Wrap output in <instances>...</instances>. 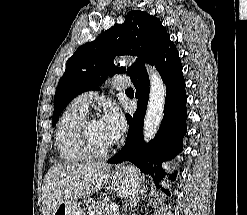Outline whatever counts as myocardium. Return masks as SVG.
I'll use <instances>...</instances> for the list:
<instances>
[{"label": "myocardium", "instance_id": "obj_1", "mask_svg": "<svg viewBox=\"0 0 247 215\" xmlns=\"http://www.w3.org/2000/svg\"><path fill=\"white\" fill-rule=\"evenodd\" d=\"M95 120L93 117H84L77 127L78 141L89 158L99 159L108 156L115 148V143L111 144L106 148H98L94 145L90 133L89 124L91 121Z\"/></svg>", "mask_w": 247, "mask_h": 215}]
</instances>
